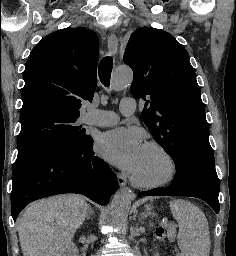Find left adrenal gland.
I'll return each mask as SVG.
<instances>
[{
	"label": "left adrenal gland",
	"instance_id": "left-adrenal-gland-1",
	"mask_svg": "<svg viewBox=\"0 0 236 256\" xmlns=\"http://www.w3.org/2000/svg\"><path fill=\"white\" fill-rule=\"evenodd\" d=\"M145 208H146V210L140 218V224H145V222H143V220H146V218H149V216H155L154 212H151V206H145Z\"/></svg>",
	"mask_w": 236,
	"mask_h": 256
}]
</instances>
